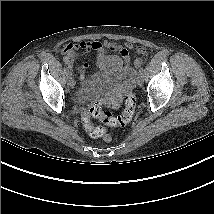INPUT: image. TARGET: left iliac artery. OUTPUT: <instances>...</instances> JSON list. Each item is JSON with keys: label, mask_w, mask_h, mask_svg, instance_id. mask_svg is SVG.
Instances as JSON below:
<instances>
[{"label": "left iliac artery", "mask_w": 214, "mask_h": 214, "mask_svg": "<svg viewBox=\"0 0 214 214\" xmlns=\"http://www.w3.org/2000/svg\"><path fill=\"white\" fill-rule=\"evenodd\" d=\"M139 72H140V74H142V72H143V69L141 68V69L139 70Z\"/></svg>", "instance_id": "1"}]
</instances>
